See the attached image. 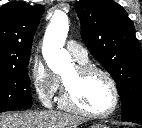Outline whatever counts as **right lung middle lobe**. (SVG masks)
Returning a JSON list of instances; mask_svg holds the SVG:
<instances>
[{"mask_svg": "<svg viewBox=\"0 0 142 128\" xmlns=\"http://www.w3.org/2000/svg\"><path fill=\"white\" fill-rule=\"evenodd\" d=\"M28 63L0 69V112L28 109L32 106Z\"/></svg>", "mask_w": 142, "mask_h": 128, "instance_id": "obj_1", "label": "right lung middle lobe"}]
</instances>
